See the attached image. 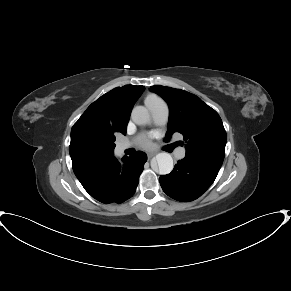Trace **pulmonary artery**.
Here are the masks:
<instances>
[{"instance_id": "pulmonary-artery-1", "label": "pulmonary artery", "mask_w": 291, "mask_h": 291, "mask_svg": "<svg viewBox=\"0 0 291 291\" xmlns=\"http://www.w3.org/2000/svg\"><path fill=\"white\" fill-rule=\"evenodd\" d=\"M148 109L151 111L153 123L157 126L166 123L169 116V108L167 103L163 99H157L151 102H145ZM132 146V142L119 143L117 145V151L122 152L125 149ZM185 156V148L181 147L175 152L177 159H182Z\"/></svg>"}]
</instances>
